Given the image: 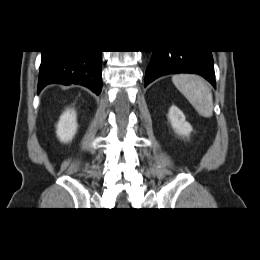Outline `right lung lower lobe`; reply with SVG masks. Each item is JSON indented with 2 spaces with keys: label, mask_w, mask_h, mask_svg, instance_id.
<instances>
[{
  "label": "right lung lower lobe",
  "mask_w": 260,
  "mask_h": 260,
  "mask_svg": "<svg viewBox=\"0 0 260 260\" xmlns=\"http://www.w3.org/2000/svg\"><path fill=\"white\" fill-rule=\"evenodd\" d=\"M101 52L42 51L38 92L48 84L60 83L80 84L99 95L102 88Z\"/></svg>",
  "instance_id": "98d812e1"
}]
</instances>
